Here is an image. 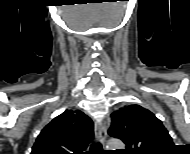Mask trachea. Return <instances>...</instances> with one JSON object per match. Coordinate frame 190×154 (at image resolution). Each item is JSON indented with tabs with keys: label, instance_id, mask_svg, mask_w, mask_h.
Segmentation results:
<instances>
[{
	"label": "trachea",
	"instance_id": "obj_1",
	"mask_svg": "<svg viewBox=\"0 0 190 154\" xmlns=\"http://www.w3.org/2000/svg\"><path fill=\"white\" fill-rule=\"evenodd\" d=\"M102 153L103 149L100 142H97L90 147V154H102Z\"/></svg>",
	"mask_w": 190,
	"mask_h": 154
}]
</instances>
